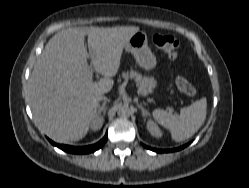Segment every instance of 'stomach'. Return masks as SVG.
<instances>
[{
    "label": "stomach",
    "mask_w": 249,
    "mask_h": 188,
    "mask_svg": "<svg viewBox=\"0 0 249 188\" xmlns=\"http://www.w3.org/2000/svg\"><path fill=\"white\" fill-rule=\"evenodd\" d=\"M125 50L134 56L136 63L145 71H150L156 66V57L148 46L146 33L138 31L132 35L125 45ZM145 81L148 88L156 87L157 82L153 76L146 77Z\"/></svg>",
    "instance_id": "0dacf381"
}]
</instances>
